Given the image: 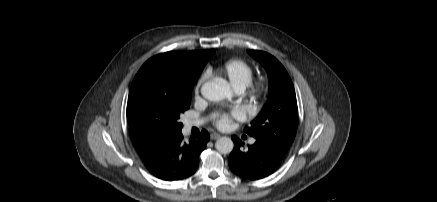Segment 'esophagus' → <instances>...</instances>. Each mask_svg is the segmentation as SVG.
I'll list each match as a JSON object with an SVG mask.
<instances>
[{"label":"esophagus","instance_id":"34e87169","mask_svg":"<svg viewBox=\"0 0 437 202\" xmlns=\"http://www.w3.org/2000/svg\"><path fill=\"white\" fill-rule=\"evenodd\" d=\"M210 138L212 140H216V139L220 138V134L214 132L210 135Z\"/></svg>","mask_w":437,"mask_h":202}]
</instances>
